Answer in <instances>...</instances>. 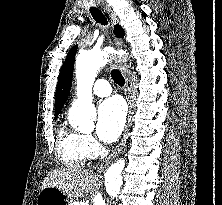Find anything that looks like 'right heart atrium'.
<instances>
[{
	"label": "right heart atrium",
	"mask_w": 222,
	"mask_h": 205,
	"mask_svg": "<svg viewBox=\"0 0 222 205\" xmlns=\"http://www.w3.org/2000/svg\"><path fill=\"white\" fill-rule=\"evenodd\" d=\"M84 146L89 157H93L98 152V144L91 135H83Z\"/></svg>",
	"instance_id": "obj_1"
}]
</instances>
